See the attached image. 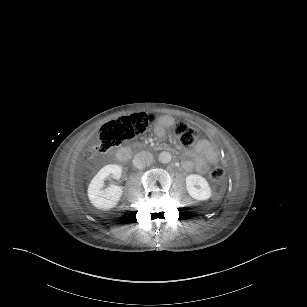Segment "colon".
<instances>
[{"label":"colon","instance_id":"obj_1","mask_svg":"<svg viewBox=\"0 0 307 307\" xmlns=\"http://www.w3.org/2000/svg\"><path fill=\"white\" fill-rule=\"evenodd\" d=\"M154 119L151 114L140 113L104 124L101 127L98 142L86 148L84 158L90 159L97 154H106L121 143L137 138L148 129ZM175 135L183 146L189 147L197 141L199 130L181 121L175 127ZM223 175L224 172L221 167L218 165L210 166L209 177L212 181H221Z\"/></svg>","mask_w":307,"mask_h":307}]
</instances>
